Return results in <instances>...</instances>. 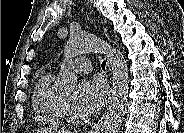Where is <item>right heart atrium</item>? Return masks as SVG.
<instances>
[{
  "label": "right heart atrium",
  "mask_w": 184,
  "mask_h": 133,
  "mask_svg": "<svg viewBox=\"0 0 184 133\" xmlns=\"http://www.w3.org/2000/svg\"><path fill=\"white\" fill-rule=\"evenodd\" d=\"M64 107H65V115H68V116L72 115L73 111L68 102H65Z\"/></svg>",
  "instance_id": "d8ad5b80"
}]
</instances>
